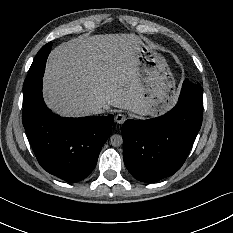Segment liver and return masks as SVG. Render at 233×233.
I'll list each match as a JSON object with an SVG mask.
<instances>
[{
  "label": "liver",
  "instance_id": "1",
  "mask_svg": "<svg viewBox=\"0 0 233 233\" xmlns=\"http://www.w3.org/2000/svg\"><path fill=\"white\" fill-rule=\"evenodd\" d=\"M130 33L79 35L51 50L42 78L44 104L64 118L92 116L102 104L147 114L138 72L131 63Z\"/></svg>",
  "mask_w": 233,
  "mask_h": 233
}]
</instances>
